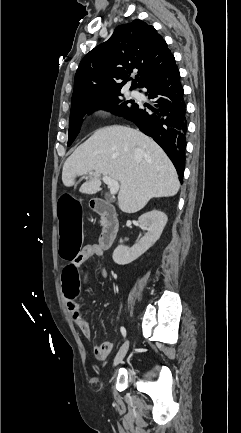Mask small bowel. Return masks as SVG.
Returning a JSON list of instances; mask_svg holds the SVG:
<instances>
[{
	"label": "small bowel",
	"instance_id": "small-bowel-1",
	"mask_svg": "<svg viewBox=\"0 0 241 433\" xmlns=\"http://www.w3.org/2000/svg\"><path fill=\"white\" fill-rule=\"evenodd\" d=\"M103 253H104L103 250L99 247L98 244H89L84 246L81 249V251L79 252V257H75L74 261H71V263H74L75 267L79 268L80 265L86 260L94 257H101L103 256ZM100 273L103 277H107V271L104 267L100 269ZM63 293L65 298L66 308L70 316L72 317L75 325L78 327V329L82 332V334L86 338H90L92 335L91 327L88 321L82 315L79 305L77 304V302L71 304L66 297V293L65 292ZM112 350H113V343L106 341L94 348V355L96 359L100 361H104L107 359V357L109 356Z\"/></svg>",
	"mask_w": 241,
	"mask_h": 433
}]
</instances>
